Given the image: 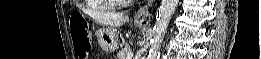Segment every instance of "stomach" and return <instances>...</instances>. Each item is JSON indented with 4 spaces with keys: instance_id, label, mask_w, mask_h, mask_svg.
<instances>
[{
    "instance_id": "stomach-1",
    "label": "stomach",
    "mask_w": 261,
    "mask_h": 59,
    "mask_svg": "<svg viewBox=\"0 0 261 59\" xmlns=\"http://www.w3.org/2000/svg\"><path fill=\"white\" fill-rule=\"evenodd\" d=\"M137 27H141L140 24L136 23ZM97 41L106 53L114 52L118 47V39L114 30L110 27L101 28L96 32Z\"/></svg>"
}]
</instances>
